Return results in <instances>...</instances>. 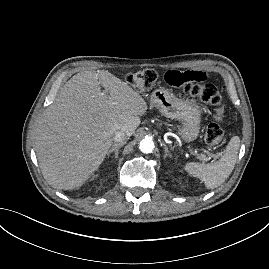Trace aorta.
<instances>
[{"mask_svg":"<svg viewBox=\"0 0 269 269\" xmlns=\"http://www.w3.org/2000/svg\"><path fill=\"white\" fill-rule=\"evenodd\" d=\"M154 148H155L154 141L149 137L142 139L139 143L140 151L145 154L151 153L154 150Z\"/></svg>","mask_w":269,"mask_h":269,"instance_id":"aorta-1","label":"aorta"}]
</instances>
